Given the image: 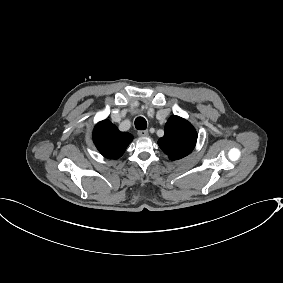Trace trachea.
Returning a JSON list of instances; mask_svg holds the SVG:
<instances>
[{
    "instance_id": "3493384b",
    "label": "trachea",
    "mask_w": 283,
    "mask_h": 283,
    "mask_svg": "<svg viewBox=\"0 0 283 283\" xmlns=\"http://www.w3.org/2000/svg\"><path fill=\"white\" fill-rule=\"evenodd\" d=\"M135 127L138 130H145L147 127V122L143 117H137L135 119Z\"/></svg>"
}]
</instances>
